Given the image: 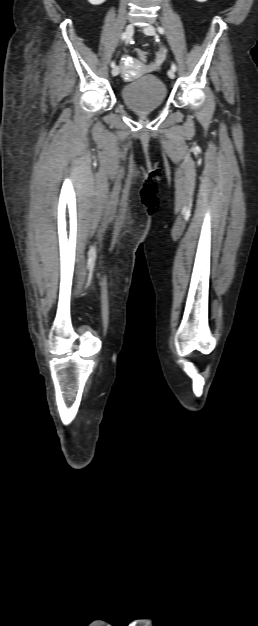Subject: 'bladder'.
Instances as JSON below:
<instances>
[{
    "mask_svg": "<svg viewBox=\"0 0 258 626\" xmlns=\"http://www.w3.org/2000/svg\"><path fill=\"white\" fill-rule=\"evenodd\" d=\"M166 96L165 84L153 75H144L121 89L123 103L136 112L157 109L165 102Z\"/></svg>",
    "mask_w": 258,
    "mask_h": 626,
    "instance_id": "31cf9c89",
    "label": "bladder"
}]
</instances>
